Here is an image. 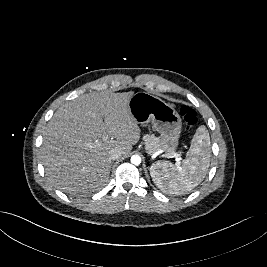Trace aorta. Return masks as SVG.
<instances>
[{"mask_svg": "<svg viewBox=\"0 0 267 267\" xmlns=\"http://www.w3.org/2000/svg\"><path fill=\"white\" fill-rule=\"evenodd\" d=\"M131 163L134 165H139L141 163V157L139 155H133L131 157Z\"/></svg>", "mask_w": 267, "mask_h": 267, "instance_id": "obj_1", "label": "aorta"}]
</instances>
